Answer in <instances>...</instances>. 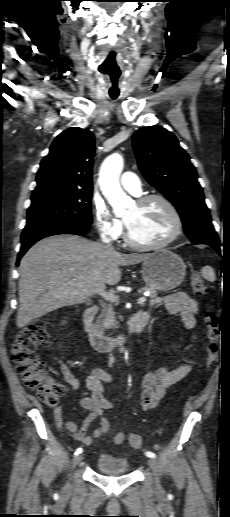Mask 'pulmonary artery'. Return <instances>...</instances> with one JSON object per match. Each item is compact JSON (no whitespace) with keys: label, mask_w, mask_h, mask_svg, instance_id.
Listing matches in <instances>:
<instances>
[{"label":"pulmonary artery","mask_w":230,"mask_h":517,"mask_svg":"<svg viewBox=\"0 0 230 517\" xmlns=\"http://www.w3.org/2000/svg\"><path fill=\"white\" fill-rule=\"evenodd\" d=\"M121 185L126 191L130 192L135 196L141 194L142 190L140 180L137 177V175L132 172H125L122 174Z\"/></svg>","instance_id":"obj_1"}]
</instances>
